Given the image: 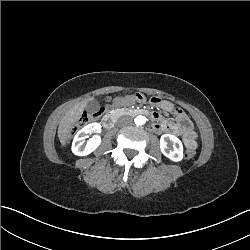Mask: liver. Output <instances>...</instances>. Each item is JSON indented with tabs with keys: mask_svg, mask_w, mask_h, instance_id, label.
<instances>
[{
	"mask_svg": "<svg viewBox=\"0 0 250 250\" xmlns=\"http://www.w3.org/2000/svg\"><path fill=\"white\" fill-rule=\"evenodd\" d=\"M86 101H81L73 106L69 111L63 116L59 127H58V137L62 144L66 143V138L71 130V127L80 115L85 107Z\"/></svg>",
	"mask_w": 250,
	"mask_h": 250,
	"instance_id": "1",
	"label": "liver"
}]
</instances>
